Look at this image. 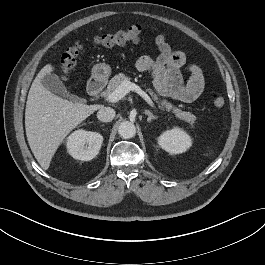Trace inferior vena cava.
Returning <instances> with one entry per match:
<instances>
[{"mask_svg": "<svg viewBox=\"0 0 265 265\" xmlns=\"http://www.w3.org/2000/svg\"><path fill=\"white\" fill-rule=\"evenodd\" d=\"M115 117V110L111 107H101L97 112V118L102 122H110Z\"/></svg>", "mask_w": 265, "mask_h": 265, "instance_id": "obj_1", "label": "inferior vena cava"}]
</instances>
